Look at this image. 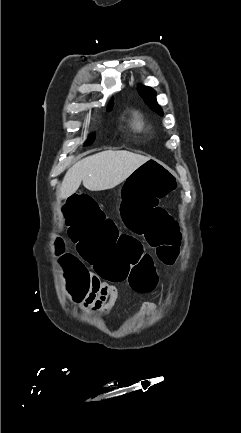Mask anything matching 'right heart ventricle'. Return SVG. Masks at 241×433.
Masks as SVG:
<instances>
[{
    "label": "right heart ventricle",
    "instance_id": "right-heart-ventricle-1",
    "mask_svg": "<svg viewBox=\"0 0 241 433\" xmlns=\"http://www.w3.org/2000/svg\"><path fill=\"white\" fill-rule=\"evenodd\" d=\"M134 126L136 129L140 130L143 127V121L140 116H137L134 122Z\"/></svg>",
    "mask_w": 241,
    "mask_h": 433
}]
</instances>
